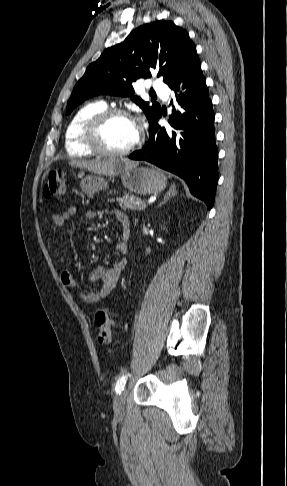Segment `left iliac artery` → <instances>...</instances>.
<instances>
[{"instance_id": "1", "label": "left iliac artery", "mask_w": 287, "mask_h": 486, "mask_svg": "<svg viewBox=\"0 0 287 486\" xmlns=\"http://www.w3.org/2000/svg\"><path fill=\"white\" fill-rule=\"evenodd\" d=\"M128 376L129 374L123 375L117 380V383L115 385V391L117 394H120L121 391L124 389Z\"/></svg>"}]
</instances>
